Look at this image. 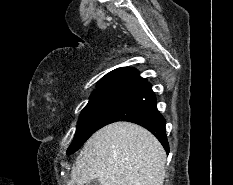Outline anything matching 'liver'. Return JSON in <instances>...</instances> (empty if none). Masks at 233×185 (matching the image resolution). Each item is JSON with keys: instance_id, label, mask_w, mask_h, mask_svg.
<instances>
[{"instance_id": "liver-1", "label": "liver", "mask_w": 233, "mask_h": 185, "mask_svg": "<svg viewBox=\"0 0 233 185\" xmlns=\"http://www.w3.org/2000/svg\"><path fill=\"white\" fill-rule=\"evenodd\" d=\"M166 153L148 130L116 122L96 131L85 143L67 185H163Z\"/></svg>"}]
</instances>
